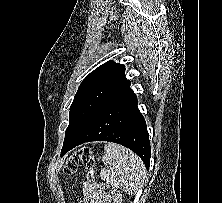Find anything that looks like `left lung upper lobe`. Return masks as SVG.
<instances>
[{"instance_id":"1","label":"left lung upper lobe","mask_w":222,"mask_h":203,"mask_svg":"<svg viewBox=\"0 0 222 203\" xmlns=\"http://www.w3.org/2000/svg\"><path fill=\"white\" fill-rule=\"evenodd\" d=\"M128 80L125 66L108 61L92 71L81 83L70 106L69 125L64 143L72 142L101 105Z\"/></svg>"}]
</instances>
